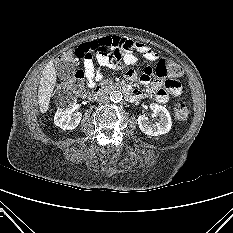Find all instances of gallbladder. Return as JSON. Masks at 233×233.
Listing matches in <instances>:
<instances>
[{"label":"gallbladder","instance_id":"bac80fb5","mask_svg":"<svg viewBox=\"0 0 233 233\" xmlns=\"http://www.w3.org/2000/svg\"><path fill=\"white\" fill-rule=\"evenodd\" d=\"M74 67L69 62H60L57 64V72L61 79H68L74 74Z\"/></svg>","mask_w":233,"mask_h":233}]
</instances>
